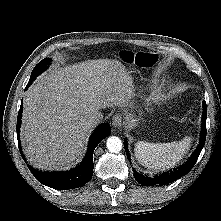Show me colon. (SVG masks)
I'll return each mask as SVG.
<instances>
[{
  "mask_svg": "<svg viewBox=\"0 0 221 221\" xmlns=\"http://www.w3.org/2000/svg\"><path fill=\"white\" fill-rule=\"evenodd\" d=\"M122 58L129 63H135L140 67H150L155 62V56L150 53H138L133 54L131 52H125Z\"/></svg>",
  "mask_w": 221,
  "mask_h": 221,
  "instance_id": "1",
  "label": "colon"
}]
</instances>
